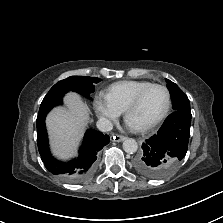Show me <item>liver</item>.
<instances>
[{"label":"liver","instance_id":"6515ba94","mask_svg":"<svg viewBox=\"0 0 223 223\" xmlns=\"http://www.w3.org/2000/svg\"><path fill=\"white\" fill-rule=\"evenodd\" d=\"M64 101L66 108H55L46 118L52 151L60 159L76 154L90 113L86 103L76 93H68Z\"/></svg>","mask_w":223,"mask_h":223}]
</instances>
